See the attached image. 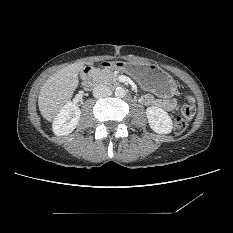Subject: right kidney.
<instances>
[{
	"label": "right kidney",
	"mask_w": 233,
	"mask_h": 233,
	"mask_svg": "<svg viewBox=\"0 0 233 233\" xmlns=\"http://www.w3.org/2000/svg\"><path fill=\"white\" fill-rule=\"evenodd\" d=\"M80 115V108L72 102H67L53 121L54 134L57 136L70 134L76 128Z\"/></svg>",
	"instance_id": "obj_1"
}]
</instances>
